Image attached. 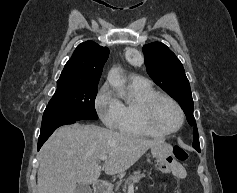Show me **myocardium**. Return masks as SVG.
I'll return each mask as SVG.
<instances>
[{"mask_svg": "<svg viewBox=\"0 0 237 193\" xmlns=\"http://www.w3.org/2000/svg\"><path fill=\"white\" fill-rule=\"evenodd\" d=\"M163 100L169 101L170 103H172L180 114V123L178 127L175 129H172V130L162 129L159 126H157L154 122L153 115H154L155 108L158 105V103ZM140 119H141L142 124L147 129L153 131L154 133L159 134V135H170V134H174L178 132L182 128L185 121V114L180 104L174 98L168 95H164V94H156L155 96H153L152 98H150L143 104L141 108V112H140Z\"/></svg>", "mask_w": 237, "mask_h": 193, "instance_id": "myocardium-1", "label": "myocardium"}]
</instances>
